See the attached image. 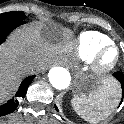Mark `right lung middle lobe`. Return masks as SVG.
<instances>
[{"label":"right lung middle lobe","instance_id":"right-lung-middle-lobe-1","mask_svg":"<svg viewBox=\"0 0 124 124\" xmlns=\"http://www.w3.org/2000/svg\"><path fill=\"white\" fill-rule=\"evenodd\" d=\"M26 16L22 11H12L0 14V21L1 20H12V21H24Z\"/></svg>","mask_w":124,"mask_h":124}]
</instances>
